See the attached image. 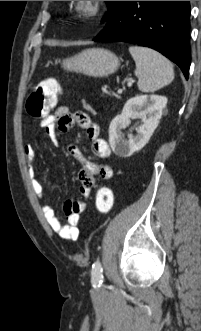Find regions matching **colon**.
<instances>
[{
  "instance_id": "5ec220e1",
  "label": "colon",
  "mask_w": 201,
  "mask_h": 331,
  "mask_svg": "<svg viewBox=\"0 0 201 331\" xmlns=\"http://www.w3.org/2000/svg\"><path fill=\"white\" fill-rule=\"evenodd\" d=\"M61 87L55 79L40 83L26 101V112L32 118L39 119L49 115L57 103ZM113 193L108 187H101L96 194V209L102 214H109L113 208Z\"/></svg>"
}]
</instances>
